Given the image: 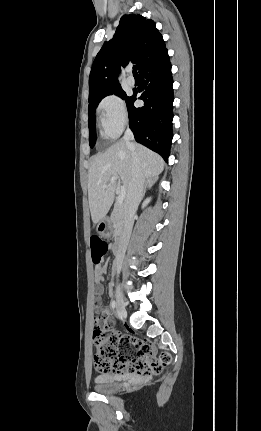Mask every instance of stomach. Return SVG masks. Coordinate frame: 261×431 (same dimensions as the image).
Segmentation results:
<instances>
[{
  "label": "stomach",
  "mask_w": 261,
  "mask_h": 431,
  "mask_svg": "<svg viewBox=\"0 0 261 431\" xmlns=\"http://www.w3.org/2000/svg\"><path fill=\"white\" fill-rule=\"evenodd\" d=\"M96 231L101 236L110 237L113 232L111 221L108 218H103L100 222L97 223Z\"/></svg>",
  "instance_id": "stomach-1"
}]
</instances>
